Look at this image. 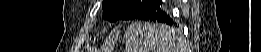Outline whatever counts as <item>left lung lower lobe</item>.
<instances>
[{
  "instance_id": "1",
  "label": "left lung lower lobe",
  "mask_w": 261,
  "mask_h": 52,
  "mask_svg": "<svg viewBox=\"0 0 261 52\" xmlns=\"http://www.w3.org/2000/svg\"><path fill=\"white\" fill-rule=\"evenodd\" d=\"M161 5V1L157 0L151 7H149L141 15H139L137 19L158 21L168 25H172V19L169 17L168 14L162 11Z\"/></svg>"
}]
</instances>
